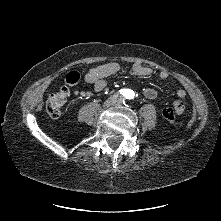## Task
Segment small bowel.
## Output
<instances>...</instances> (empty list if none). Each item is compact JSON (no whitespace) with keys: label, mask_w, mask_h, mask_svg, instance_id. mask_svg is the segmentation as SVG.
Listing matches in <instances>:
<instances>
[{"label":"small bowel","mask_w":221,"mask_h":221,"mask_svg":"<svg viewBox=\"0 0 221 221\" xmlns=\"http://www.w3.org/2000/svg\"><path fill=\"white\" fill-rule=\"evenodd\" d=\"M120 69V66L116 62H109L95 68L90 69L85 74L86 82L93 85L95 91H101L104 89L106 83L105 78L115 74ZM153 70L141 63H135L131 68V74L135 76L145 77L151 75ZM161 79L166 80L170 77V74L167 70H161L159 73ZM157 91L153 88H146L144 90V96L148 99H154L157 97ZM177 99L174 101V107H181L184 109L183 99L185 98V91L183 89H179L176 93Z\"/></svg>","instance_id":"1"}]
</instances>
